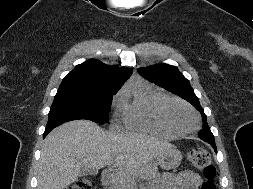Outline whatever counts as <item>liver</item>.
Segmentation results:
<instances>
[{
	"label": "liver",
	"mask_w": 253,
	"mask_h": 189,
	"mask_svg": "<svg viewBox=\"0 0 253 189\" xmlns=\"http://www.w3.org/2000/svg\"><path fill=\"white\" fill-rule=\"evenodd\" d=\"M173 146L139 133L105 131L89 120L54 129L44 140L38 165V189H64L77 181L82 167H117L126 174V189H137L148 163Z\"/></svg>",
	"instance_id": "liver-1"
}]
</instances>
